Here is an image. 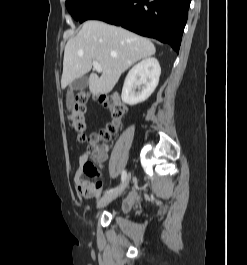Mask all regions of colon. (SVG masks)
Masks as SVG:
<instances>
[{
  "label": "colon",
  "instance_id": "obj_1",
  "mask_svg": "<svg viewBox=\"0 0 247 265\" xmlns=\"http://www.w3.org/2000/svg\"><path fill=\"white\" fill-rule=\"evenodd\" d=\"M88 95L85 92H77L74 95L72 108L69 112V124L81 142H89L92 155L96 159L105 156L102 142L108 141L120 127L127 112L126 105L116 94H106L99 97V102L108 110L111 121L99 133L88 135V121L86 115V103ZM84 171L89 176L97 175L98 171L92 162H87Z\"/></svg>",
  "mask_w": 247,
  "mask_h": 265
}]
</instances>
